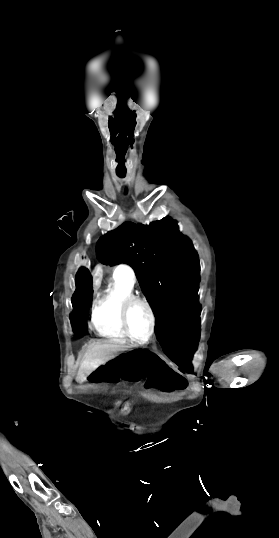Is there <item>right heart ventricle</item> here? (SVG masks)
Segmentation results:
<instances>
[{
    "mask_svg": "<svg viewBox=\"0 0 279 538\" xmlns=\"http://www.w3.org/2000/svg\"><path fill=\"white\" fill-rule=\"evenodd\" d=\"M88 232V239L93 240L97 231ZM129 268L132 270L130 266ZM134 282L126 274L112 276L106 290L93 301L90 323L99 335L111 339H127L120 323L119 311L124 300L134 295Z\"/></svg>",
    "mask_w": 279,
    "mask_h": 538,
    "instance_id": "obj_1",
    "label": "right heart ventricle"
}]
</instances>
